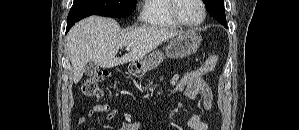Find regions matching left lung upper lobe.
<instances>
[{"label": "left lung upper lobe", "mask_w": 299, "mask_h": 130, "mask_svg": "<svg viewBox=\"0 0 299 130\" xmlns=\"http://www.w3.org/2000/svg\"><path fill=\"white\" fill-rule=\"evenodd\" d=\"M209 13L220 23H226L224 0H203ZM227 24V23H226Z\"/></svg>", "instance_id": "left-lung-upper-lobe-1"}]
</instances>
